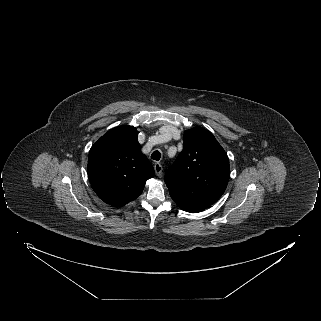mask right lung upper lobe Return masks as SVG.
<instances>
[{"mask_svg": "<svg viewBox=\"0 0 321 321\" xmlns=\"http://www.w3.org/2000/svg\"><path fill=\"white\" fill-rule=\"evenodd\" d=\"M133 126L108 131L90 149L88 176L93 190L105 203L121 207L136 199L154 168L141 153Z\"/></svg>", "mask_w": 321, "mask_h": 321, "instance_id": "cb5924a9", "label": "right lung upper lobe"}]
</instances>
